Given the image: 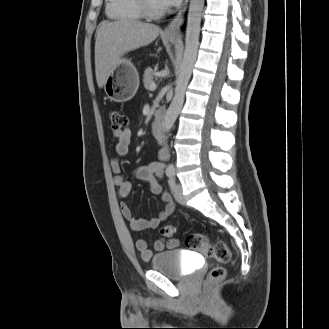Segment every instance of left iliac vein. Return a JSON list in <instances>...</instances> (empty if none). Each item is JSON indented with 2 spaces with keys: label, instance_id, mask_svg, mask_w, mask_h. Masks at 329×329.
Returning a JSON list of instances; mask_svg holds the SVG:
<instances>
[{
  "label": "left iliac vein",
  "instance_id": "1",
  "mask_svg": "<svg viewBox=\"0 0 329 329\" xmlns=\"http://www.w3.org/2000/svg\"><path fill=\"white\" fill-rule=\"evenodd\" d=\"M173 195L176 201L182 205L185 204V199L182 194V186L180 184H176L174 189H173Z\"/></svg>",
  "mask_w": 329,
  "mask_h": 329
}]
</instances>
